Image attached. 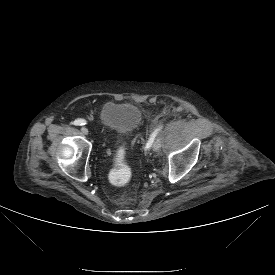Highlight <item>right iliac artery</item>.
<instances>
[{"mask_svg":"<svg viewBox=\"0 0 275 275\" xmlns=\"http://www.w3.org/2000/svg\"><path fill=\"white\" fill-rule=\"evenodd\" d=\"M73 124L76 126L85 125L86 121L84 119H76Z\"/></svg>","mask_w":275,"mask_h":275,"instance_id":"right-iliac-artery-1","label":"right iliac artery"}]
</instances>
